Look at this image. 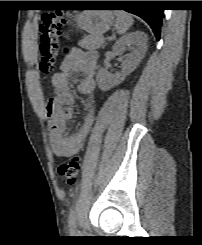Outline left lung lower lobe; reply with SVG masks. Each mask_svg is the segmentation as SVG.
I'll return each instance as SVG.
<instances>
[{
	"label": "left lung lower lobe",
	"mask_w": 202,
	"mask_h": 245,
	"mask_svg": "<svg viewBox=\"0 0 202 245\" xmlns=\"http://www.w3.org/2000/svg\"><path fill=\"white\" fill-rule=\"evenodd\" d=\"M90 5L124 7V10L144 19L152 28L157 40L160 39L163 10L151 8V1H87Z\"/></svg>",
	"instance_id": "0a47b994"
}]
</instances>
